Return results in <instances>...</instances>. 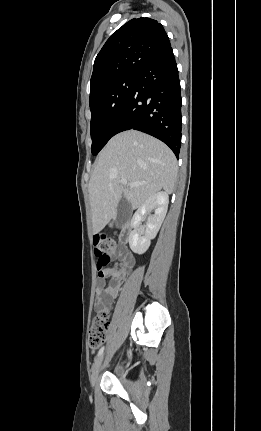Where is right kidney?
Wrapping results in <instances>:
<instances>
[{
  "label": "right kidney",
  "mask_w": 261,
  "mask_h": 431,
  "mask_svg": "<svg viewBox=\"0 0 261 431\" xmlns=\"http://www.w3.org/2000/svg\"><path fill=\"white\" fill-rule=\"evenodd\" d=\"M169 203V196L166 192H157L150 196L139 207L132 218L133 231L129 234V245L131 250L137 254H143L147 251L164 221L167 213ZM155 209L154 214L150 215L146 222V229L144 235L138 228L142 218Z\"/></svg>",
  "instance_id": "obj_1"
}]
</instances>
